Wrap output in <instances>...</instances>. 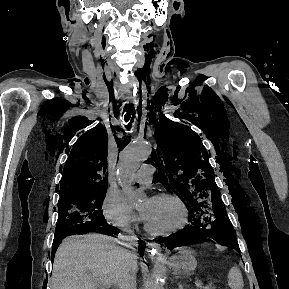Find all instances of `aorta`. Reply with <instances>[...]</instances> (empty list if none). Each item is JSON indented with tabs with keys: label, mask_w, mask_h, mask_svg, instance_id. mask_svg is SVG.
Returning <instances> with one entry per match:
<instances>
[{
	"label": "aorta",
	"mask_w": 289,
	"mask_h": 289,
	"mask_svg": "<svg viewBox=\"0 0 289 289\" xmlns=\"http://www.w3.org/2000/svg\"><path fill=\"white\" fill-rule=\"evenodd\" d=\"M150 155L151 147L149 143L140 139H133L120 153L118 162L119 177L121 179L123 192L131 207H137L146 195L141 190H135L126 182V178L135 172L143 162L148 160ZM152 289H164L163 283H155Z\"/></svg>",
	"instance_id": "aorta-1"
}]
</instances>
